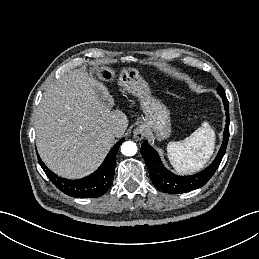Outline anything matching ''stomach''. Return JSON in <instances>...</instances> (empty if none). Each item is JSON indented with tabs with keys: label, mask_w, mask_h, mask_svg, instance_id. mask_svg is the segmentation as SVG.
I'll use <instances>...</instances> for the list:
<instances>
[{
	"label": "stomach",
	"mask_w": 259,
	"mask_h": 259,
	"mask_svg": "<svg viewBox=\"0 0 259 259\" xmlns=\"http://www.w3.org/2000/svg\"><path fill=\"white\" fill-rule=\"evenodd\" d=\"M90 75L97 81H112L115 72L108 66H93ZM120 85L129 93L141 100L145 118L141 123L149 133H154L158 139H165L171 133L170 112L167 107L151 95L150 88L135 68H123L120 72Z\"/></svg>",
	"instance_id": "0dacf381"
}]
</instances>
